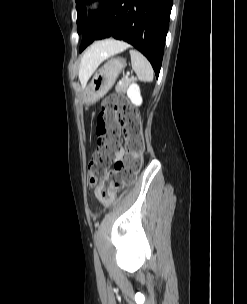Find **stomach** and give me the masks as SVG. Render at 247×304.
<instances>
[{
	"label": "stomach",
	"instance_id": "1",
	"mask_svg": "<svg viewBox=\"0 0 247 304\" xmlns=\"http://www.w3.org/2000/svg\"><path fill=\"white\" fill-rule=\"evenodd\" d=\"M125 66L126 60L121 57L111 58L101 66L84 91L83 103L90 106L103 97L114 85Z\"/></svg>",
	"mask_w": 247,
	"mask_h": 304
}]
</instances>
